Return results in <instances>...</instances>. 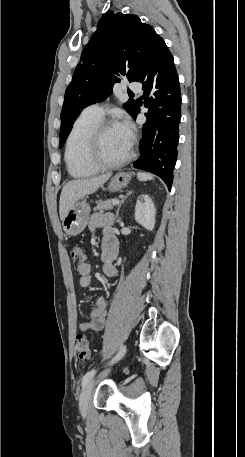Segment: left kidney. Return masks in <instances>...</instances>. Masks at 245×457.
Returning <instances> with one entry per match:
<instances>
[{"mask_svg":"<svg viewBox=\"0 0 245 457\" xmlns=\"http://www.w3.org/2000/svg\"><path fill=\"white\" fill-rule=\"evenodd\" d=\"M156 208L149 194H139L135 206V220L145 226L147 231H153L155 226Z\"/></svg>","mask_w":245,"mask_h":457,"instance_id":"obj_1","label":"left kidney"}]
</instances>
